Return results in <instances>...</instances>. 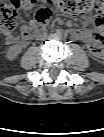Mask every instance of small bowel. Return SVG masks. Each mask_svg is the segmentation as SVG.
<instances>
[{"label": "small bowel", "instance_id": "c3829d8e", "mask_svg": "<svg viewBox=\"0 0 104 137\" xmlns=\"http://www.w3.org/2000/svg\"><path fill=\"white\" fill-rule=\"evenodd\" d=\"M60 23H64L62 19L59 20ZM40 27L36 20H32L28 26H23L21 30V34L19 37L14 36L13 34H6L5 42L7 45L16 46L19 49L26 47L32 39V32L34 29ZM73 38L82 41L87 45L92 54L101 58L103 53H96L93 51V45L95 44V40L93 39L90 32L83 28H77L72 32Z\"/></svg>", "mask_w": 104, "mask_h": 137}]
</instances>
